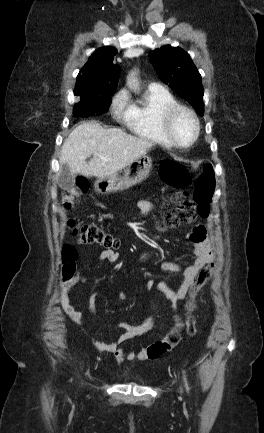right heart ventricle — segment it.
Here are the masks:
<instances>
[{
	"instance_id": "right-heart-ventricle-1",
	"label": "right heart ventricle",
	"mask_w": 264,
	"mask_h": 433,
	"mask_svg": "<svg viewBox=\"0 0 264 433\" xmlns=\"http://www.w3.org/2000/svg\"><path fill=\"white\" fill-rule=\"evenodd\" d=\"M176 104L177 100L168 90L148 88L140 99L130 103L126 126L139 138L171 146L162 130L161 115L166 108Z\"/></svg>"
}]
</instances>
